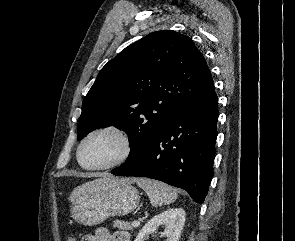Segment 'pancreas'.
<instances>
[{
  "label": "pancreas",
  "mask_w": 295,
  "mask_h": 241,
  "mask_svg": "<svg viewBox=\"0 0 295 241\" xmlns=\"http://www.w3.org/2000/svg\"><path fill=\"white\" fill-rule=\"evenodd\" d=\"M113 227L122 229V230H132V226L128 222L121 221V220H115L113 222Z\"/></svg>",
  "instance_id": "pancreas-1"
}]
</instances>
